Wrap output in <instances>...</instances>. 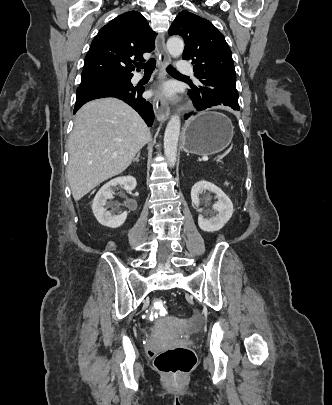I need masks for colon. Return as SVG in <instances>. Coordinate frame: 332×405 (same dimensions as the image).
<instances>
[{
    "label": "colon",
    "mask_w": 332,
    "mask_h": 405,
    "mask_svg": "<svg viewBox=\"0 0 332 405\" xmlns=\"http://www.w3.org/2000/svg\"><path fill=\"white\" fill-rule=\"evenodd\" d=\"M149 315L154 319L167 315L164 300L156 298L149 309ZM154 318V319H153ZM196 364V355L189 346H177L154 353V365L156 369L170 376H179L188 373Z\"/></svg>",
    "instance_id": "5ec220e1"
}]
</instances>
